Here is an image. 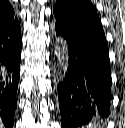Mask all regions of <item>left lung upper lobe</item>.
<instances>
[{
  "label": "left lung upper lobe",
  "instance_id": "5c2ea615",
  "mask_svg": "<svg viewBox=\"0 0 125 128\" xmlns=\"http://www.w3.org/2000/svg\"><path fill=\"white\" fill-rule=\"evenodd\" d=\"M56 23L105 38L96 8L89 0H56Z\"/></svg>",
  "mask_w": 125,
  "mask_h": 128
}]
</instances>
